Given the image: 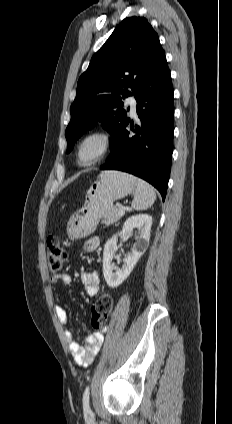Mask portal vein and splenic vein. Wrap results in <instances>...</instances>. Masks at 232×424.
Wrapping results in <instances>:
<instances>
[{
  "mask_svg": "<svg viewBox=\"0 0 232 424\" xmlns=\"http://www.w3.org/2000/svg\"><path fill=\"white\" fill-rule=\"evenodd\" d=\"M118 214L120 216H123L125 214V210L123 208H120L119 211H118Z\"/></svg>",
  "mask_w": 232,
  "mask_h": 424,
  "instance_id": "obj_1",
  "label": "portal vein and splenic vein"
}]
</instances>
